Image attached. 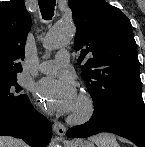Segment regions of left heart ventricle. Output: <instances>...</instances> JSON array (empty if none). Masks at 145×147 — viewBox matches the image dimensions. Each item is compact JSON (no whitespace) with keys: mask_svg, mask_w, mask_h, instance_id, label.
<instances>
[{"mask_svg":"<svg viewBox=\"0 0 145 147\" xmlns=\"http://www.w3.org/2000/svg\"><path fill=\"white\" fill-rule=\"evenodd\" d=\"M78 108H79V102L77 101V104H76L74 110H76V109H78Z\"/></svg>","mask_w":145,"mask_h":147,"instance_id":"left-heart-ventricle-1","label":"left heart ventricle"}]
</instances>
